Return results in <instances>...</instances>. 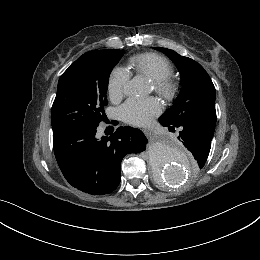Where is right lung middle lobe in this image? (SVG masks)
Returning a JSON list of instances; mask_svg holds the SVG:
<instances>
[{
	"label": "right lung middle lobe",
	"instance_id": "obj_1",
	"mask_svg": "<svg viewBox=\"0 0 260 260\" xmlns=\"http://www.w3.org/2000/svg\"><path fill=\"white\" fill-rule=\"evenodd\" d=\"M124 50L90 51L60 77L52 106L53 134L99 126L104 120L109 75Z\"/></svg>",
	"mask_w": 260,
	"mask_h": 260
}]
</instances>
